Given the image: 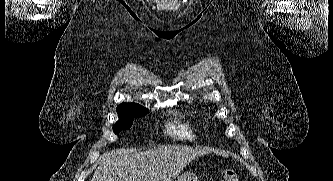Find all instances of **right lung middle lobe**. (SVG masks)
I'll return each mask as SVG.
<instances>
[{
  "label": "right lung middle lobe",
  "instance_id": "1",
  "mask_svg": "<svg viewBox=\"0 0 333 181\" xmlns=\"http://www.w3.org/2000/svg\"><path fill=\"white\" fill-rule=\"evenodd\" d=\"M147 111L148 110L145 108H140L118 113L119 120L113 126L114 133L117 134L122 130L129 129L132 125L133 119L144 116Z\"/></svg>",
  "mask_w": 333,
  "mask_h": 181
}]
</instances>
